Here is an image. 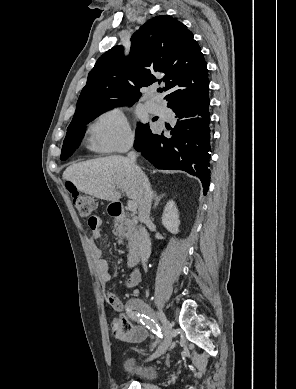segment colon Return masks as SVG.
Returning <instances> with one entry per match:
<instances>
[{
  "label": "colon",
  "mask_w": 296,
  "mask_h": 389,
  "mask_svg": "<svg viewBox=\"0 0 296 389\" xmlns=\"http://www.w3.org/2000/svg\"><path fill=\"white\" fill-rule=\"evenodd\" d=\"M70 192L72 193L73 203L79 215L82 218L87 219L90 226L95 225L97 220V217L94 214L97 207L96 200L91 196L83 195L77 192L73 188H70ZM130 330L131 328L128 324H116L113 327V334L117 338H123L130 332Z\"/></svg>",
  "instance_id": "5ec220e1"
}]
</instances>
